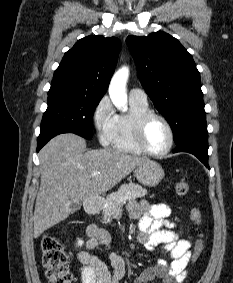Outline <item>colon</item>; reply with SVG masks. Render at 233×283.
Instances as JSON below:
<instances>
[{"mask_svg":"<svg viewBox=\"0 0 233 283\" xmlns=\"http://www.w3.org/2000/svg\"><path fill=\"white\" fill-rule=\"evenodd\" d=\"M189 184L185 180H180L175 185V191L183 196L189 192ZM190 218L195 225L202 222V214L199 209L193 208L190 211ZM205 248V240L202 233H199L191 261L194 262L201 255ZM42 266L48 283H72L73 277L69 270L68 257L62 244L53 236L44 234L41 238Z\"/></svg>","mask_w":233,"mask_h":283,"instance_id":"5ec220e1","label":"colon"}]
</instances>
